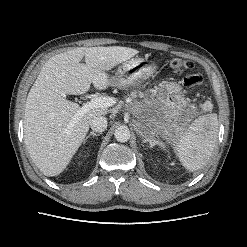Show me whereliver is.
<instances>
[{"mask_svg": "<svg viewBox=\"0 0 247 247\" xmlns=\"http://www.w3.org/2000/svg\"><path fill=\"white\" fill-rule=\"evenodd\" d=\"M121 47H79L51 57L42 67L28 93L24 114V140L28 152L46 176H56L67 167L85 139L91 120L108 113L94 108L77 121L80 109L66 95H81L91 83L98 90L112 85L107 73L138 54ZM85 58V64L80 61Z\"/></svg>", "mask_w": 247, "mask_h": 247, "instance_id": "liver-1", "label": "liver"}]
</instances>
